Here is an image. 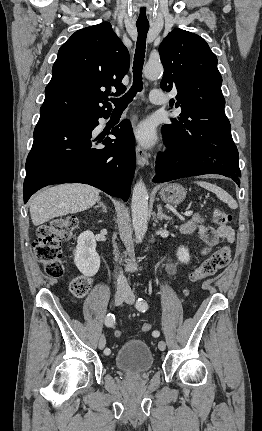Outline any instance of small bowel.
<instances>
[{
	"label": "small bowel",
	"instance_id": "1",
	"mask_svg": "<svg viewBox=\"0 0 262 431\" xmlns=\"http://www.w3.org/2000/svg\"><path fill=\"white\" fill-rule=\"evenodd\" d=\"M182 230L185 233L196 232L198 234L205 242V247L202 251L203 254L210 253L220 239H225L228 242L234 241V233L230 227L213 228L209 223L205 222L200 215H196L193 221L183 224ZM167 269L171 274L175 273V265L172 261L168 262Z\"/></svg>",
	"mask_w": 262,
	"mask_h": 431
}]
</instances>
